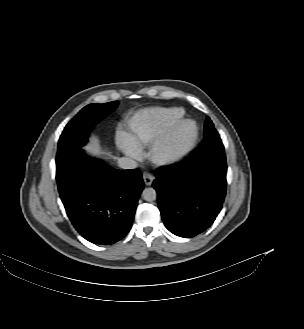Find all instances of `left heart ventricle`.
<instances>
[{
	"instance_id": "left-heart-ventricle-1",
	"label": "left heart ventricle",
	"mask_w": 304,
	"mask_h": 329,
	"mask_svg": "<svg viewBox=\"0 0 304 329\" xmlns=\"http://www.w3.org/2000/svg\"><path fill=\"white\" fill-rule=\"evenodd\" d=\"M191 131H192V126L191 125H187L184 128V135H188Z\"/></svg>"
}]
</instances>
